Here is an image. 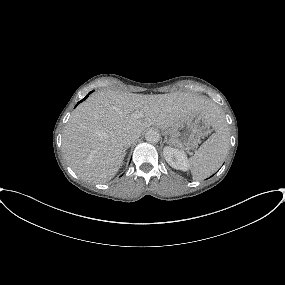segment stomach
Here are the masks:
<instances>
[{
	"label": "stomach",
	"mask_w": 285,
	"mask_h": 285,
	"mask_svg": "<svg viewBox=\"0 0 285 285\" xmlns=\"http://www.w3.org/2000/svg\"><path fill=\"white\" fill-rule=\"evenodd\" d=\"M211 126L210 119L205 114L195 112L168 129L169 143L182 150H194Z\"/></svg>",
	"instance_id": "obj_1"
}]
</instances>
